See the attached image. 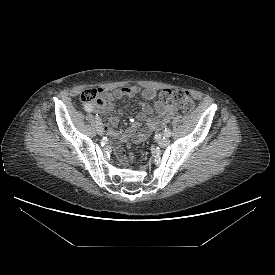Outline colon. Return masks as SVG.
Instances as JSON below:
<instances>
[{"label":"colon","instance_id":"obj_1","mask_svg":"<svg viewBox=\"0 0 275 275\" xmlns=\"http://www.w3.org/2000/svg\"><path fill=\"white\" fill-rule=\"evenodd\" d=\"M81 100L86 104L103 105L104 99L101 97L99 90L86 89L81 93ZM153 101H163L176 105L184 112H190L194 108V102L190 94L181 89H165L160 92H156L153 97Z\"/></svg>","mask_w":275,"mask_h":275}]
</instances>
